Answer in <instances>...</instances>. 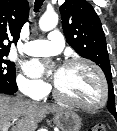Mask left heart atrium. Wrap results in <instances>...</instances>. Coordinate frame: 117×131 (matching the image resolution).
<instances>
[{"mask_svg":"<svg viewBox=\"0 0 117 131\" xmlns=\"http://www.w3.org/2000/svg\"><path fill=\"white\" fill-rule=\"evenodd\" d=\"M29 73L33 75H40L44 69L43 65L37 61L29 62L26 66Z\"/></svg>","mask_w":117,"mask_h":131,"instance_id":"obj_1","label":"left heart atrium"}]
</instances>
